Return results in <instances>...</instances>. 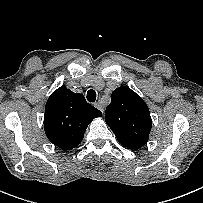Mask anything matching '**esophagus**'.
Listing matches in <instances>:
<instances>
[{
  "mask_svg": "<svg viewBox=\"0 0 203 203\" xmlns=\"http://www.w3.org/2000/svg\"><path fill=\"white\" fill-rule=\"evenodd\" d=\"M94 106L97 109H99L102 113H104V108H103V106L99 102L95 103Z\"/></svg>",
  "mask_w": 203,
  "mask_h": 203,
  "instance_id": "obj_1",
  "label": "esophagus"
}]
</instances>
